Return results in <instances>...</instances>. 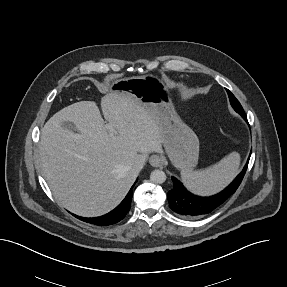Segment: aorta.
<instances>
[{"instance_id":"obj_1","label":"aorta","mask_w":287,"mask_h":287,"mask_svg":"<svg viewBox=\"0 0 287 287\" xmlns=\"http://www.w3.org/2000/svg\"><path fill=\"white\" fill-rule=\"evenodd\" d=\"M166 174L164 171L156 169L151 172L150 179L153 183L162 184L166 181Z\"/></svg>"}]
</instances>
